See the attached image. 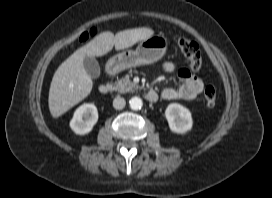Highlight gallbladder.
I'll return each instance as SVG.
<instances>
[{"instance_id":"gallbladder-1","label":"gallbladder","mask_w":272,"mask_h":198,"mask_svg":"<svg viewBox=\"0 0 272 198\" xmlns=\"http://www.w3.org/2000/svg\"><path fill=\"white\" fill-rule=\"evenodd\" d=\"M83 65L90 77L98 78L100 76V66L95 58L86 56L83 60Z\"/></svg>"}]
</instances>
